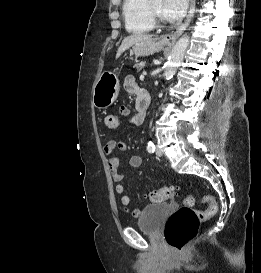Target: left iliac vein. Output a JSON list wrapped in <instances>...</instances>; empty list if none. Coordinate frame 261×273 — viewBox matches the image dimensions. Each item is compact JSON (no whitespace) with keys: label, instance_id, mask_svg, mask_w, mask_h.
<instances>
[{"label":"left iliac vein","instance_id":"1","mask_svg":"<svg viewBox=\"0 0 261 273\" xmlns=\"http://www.w3.org/2000/svg\"><path fill=\"white\" fill-rule=\"evenodd\" d=\"M155 153H156V155L159 156V157L163 155L162 150H161L158 146L156 147Z\"/></svg>","mask_w":261,"mask_h":273}]
</instances>
